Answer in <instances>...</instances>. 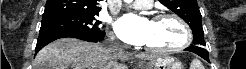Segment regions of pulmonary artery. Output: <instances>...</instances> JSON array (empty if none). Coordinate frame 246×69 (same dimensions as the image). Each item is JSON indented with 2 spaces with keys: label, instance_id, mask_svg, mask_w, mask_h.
Returning a JSON list of instances; mask_svg holds the SVG:
<instances>
[{
  "label": "pulmonary artery",
  "instance_id": "pulmonary-artery-1",
  "mask_svg": "<svg viewBox=\"0 0 246 69\" xmlns=\"http://www.w3.org/2000/svg\"><path fill=\"white\" fill-rule=\"evenodd\" d=\"M152 2V0H136L131 3V6L138 9H148L151 7Z\"/></svg>",
  "mask_w": 246,
  "mask_h": 69
}]
</instances>
